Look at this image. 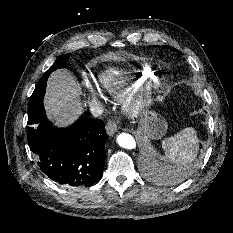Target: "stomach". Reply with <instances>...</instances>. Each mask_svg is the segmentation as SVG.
Masks as SVG:
<instances>
[{
	"mask_svg": "<svg viewBox=\"0 0 233 233\" xmlns=\"http://www.w3.org/2000/svg\"><path fill=\"white\" fill-rule=\"evenodd\" d=\"M167 131V122L154 111L144 113L139 126V132L148 139H159Z\"/></svg>",
	"mask_w": 233,
	"mask_h": 233,
	"instance_id": "stomach-1",
	"label": "stomach"
}]
</instances>
